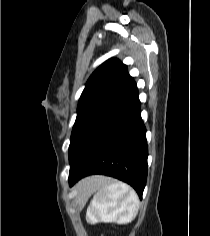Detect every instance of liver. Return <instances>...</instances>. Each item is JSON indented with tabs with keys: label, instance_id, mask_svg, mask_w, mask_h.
Returning <instances> with one entry per match:
<instances>
[{
	"label": "liver",
	"instance_id": "6515ba94",
	"mask_svg": "<svg viewBox=\"0 0 210 236\" xmlns=\"http://www.w3.org/2000/svg\"><path fill=\"white\" fill-rule=\"evenodd\" d=\"M101 179V177H91V178H88L84 181V183H92V182H97Z\"/></svg>",
	"mask_w": 210,
	"mask_h": 236
}]
</instances>
